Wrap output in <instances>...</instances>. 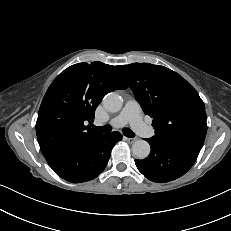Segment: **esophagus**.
Listing matches in <instances>:
<instances>
[{"instance_id":"34e87169","label":"esophagus","mask_w":231,"mask_h":231,"mask_svg":"<svg viewBox=\"0 0 231 231\" xmlns=\"http://www.w3.org/2000/svg\"><path fill=\"white\" fill-rule=\"evenodd\" d=\"M124 139L129 143H134L135 141H137L136 137H133V138L124 137Z\"/></svg>"}]
</instances>
